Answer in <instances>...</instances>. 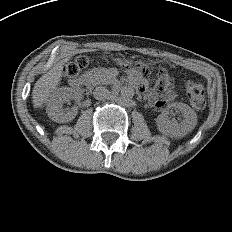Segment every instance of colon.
<instances>
[{
    "label": "colon",
    "instance_id": "1",
    "mask_svg": "<svg viewBox=\"0 0 232 232\" xmlns=\"http://www.w3.org/2000/svg\"><path fill=\"white\" fill-rule=\"evenodd\" d=\"M88 65L84 56L69 62L65 67V75L69 78L78 76ZM173 78L166 70H159L155 80V89L160 95H168L173 88ZM187 97L191 105L198 110L205 107V91L202 84L191 82L187 85Z\"/></svg>",
    "mask_w": 232,
    "mask_h": 232
}]
</instances>
